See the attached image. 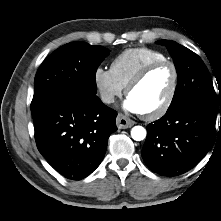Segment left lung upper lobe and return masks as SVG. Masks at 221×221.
<instances>
[{
    "mask_svg": "<svg viewBox=\"0 0 221 221\" xmlns=\"http://www.w3.org/2000/svg\"><path fill=\"white\" fill-rule=\"evenodd\" d=\"M157 43L167 47L178 73L176 91L169 108L186 101H198L217 110L218 100L211 76L201 58L174 41L160 40Z\"/></svg>",
    "mask_w": 221,
    "mask_h": 221,
    "instance_id": "5c2ea615",
    "label": "left lung upper lobe"
}]
</instances>
